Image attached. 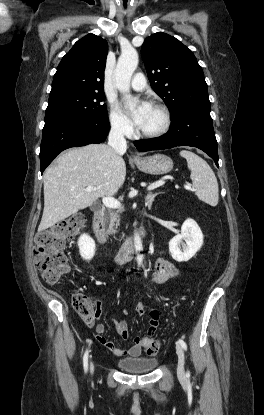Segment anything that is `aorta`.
<instances>
[{"instance_id": "obj_1", "label": "aorta", "mask_w": 264, "mask_h": 415, "mask_svg": "<svg viewBox=\"0 0 264 415\" xmlns=\"http://www.w3.org/2000/svg\"><path fill=\"white\" fill-rule=\"evenodd\" d=\"M138 65V53L134 48L124 50L117 62L114 72V79L118 90L123 94L130 92V80ZM131 108L135 104L131 103ZM134 248L136 252V261L138 266L143 262L144 256L140 254L143 250L142 240L138 233L134 234Z\"/></svg>"}]
</instances>
